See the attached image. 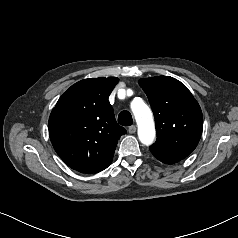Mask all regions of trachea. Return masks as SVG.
<instances>
[{"label": "trachea", "instance_id": "obj_1", "mask_svg": "<svg viewBox=\"0 0 238 238\" xmlns=\"http://www.w3.org/2000/svg\"><path fill=\"white\" fill-rule=\"evenodd\" d=\"M118 123L122 126H130L133 124V119L128 111H122L118 116Z\"/></svg>", "mask_w": 238, "mask_h": 238}]
</instances>
